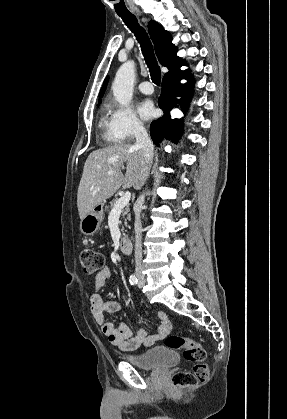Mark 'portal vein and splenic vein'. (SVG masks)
<instances>
[{
	"instance_id": "1",
	"label": "portal vein and splenic vein",
	"mask_w": 287,
	"mask_h": 419,
	"mask_svg": "<svg viewBox=\"0 0 287 419\" xmlns=\"http://www.w3.org/2000/svg\"><path fill=\"white\" fill-rule=\"evenodd\" d=\"M108 174H109V175H112V174H113V172H112V171H109V172H108ZM130 198H131V193H130V192H126L123 196H121V197L117 200V202H116V204L114 205V207H113V209H112V211H111V212H115V211H118V210L123 209L125 206H127V205H128V203H129V201H130Z\"/></svg>"
}]
</instances>
